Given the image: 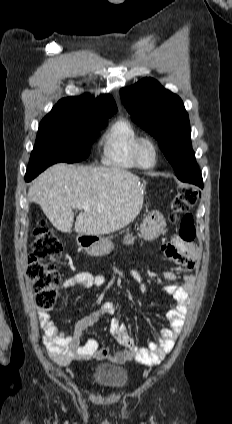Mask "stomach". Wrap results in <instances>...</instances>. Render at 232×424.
Instances as JSON below:
<instances>
[{"label":"stomach","instance_id":"obj_1","mask_svg":"<svg viewBox=\"0 0 232 424\" xmlns=\"http://www.w3.org/2000/svg\"><path fill=\"white\" fill-rule=\"evenodd\" d=\"M165 227L166 222L161 214L148 216L141 224L140 236L148 241L154 240L163 233ZM125 242L132 243L133 237L127 235L125 237ZM77 243L80 247L84 248L88 255L96 257L108 255L114 247L112 241L107 238L89 235L77 236Z\"/></svg>","mask_w":232,"mask_h":424}]
</instances>
